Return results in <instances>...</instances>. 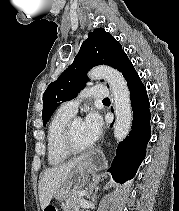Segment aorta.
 Segmentation results:
<instances>
[{
  "mask_svg": "<svg viewBox=\"0 0 179 211\" xmlns=\"http://www.w3.org/2000/svg\"><path fill=\"white\" fill-rule=\"evenodd\" d=\"M88 77L105 79L109 83L116 116L114 137L118 141L123 140L129 133L132 120L130 95L123 75L112 67L101 65L93 68Z\"/></svg>",
  "mask_w": 179,
  "mask_h": 211,
  "instance_id": "762f6f07",
  "label": "aorta"
}]
</instances>
